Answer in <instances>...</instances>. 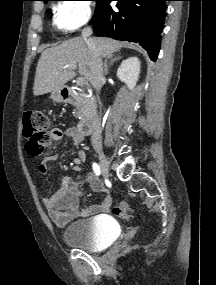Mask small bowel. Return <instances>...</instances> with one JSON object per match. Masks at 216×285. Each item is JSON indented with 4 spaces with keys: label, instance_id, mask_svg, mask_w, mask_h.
I'll return each mask as SVG.
<instances>
[{
    "label": "small bowel",
    "instance_id": "c3829d8e",
    "mask_svg": "<svg viewBox=\"0 0 216 285\" xmlns=\"http://www.w3.org/2000/svg\"><path fill=\"white\" fill-rule=\"evenodd\" d=\"M64 135L69 137L75 146L79 147L85 135L76 127H70L66 131L60 128L52 129L48 134V143L60 141ZM86 160V153L83 149L77 150L75 158L74 170H79V165ZM55 161V157L45 159L39 169L42 173L48 170V163ZM88 182L94 190H99V183L92 175L82 176L75 175L73 177L63 176L60 179L59 189L51 196L43 198V204L47 209L50 219L59 227H64L78 216L88 217L99 212H105L111 205L110 196L106 195L101 203L81 209L80 204V188L84 183Z\"/></svg>",
    "mask_w": 216,
    "mask_h": 285
}]
</instances>
